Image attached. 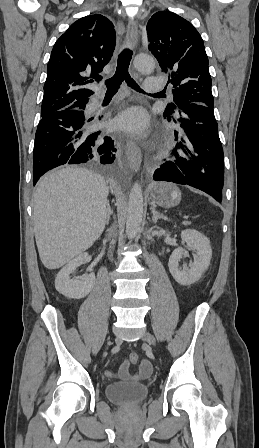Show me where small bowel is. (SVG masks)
<instances>
[{"label": "small bowel", "mask_w": 259, "mask_h": 448, "mask_svg": "<svg viewBox=\"0 0 259 448\" xmlns=\"http://www.w3.org/2000/svg\"><path fill=\"white\" fill-rule=\"evenodd\" d=\"M152 372L151 363L143 359L138 367V372L136 374H132L129 371V362L124 361L119 369L118 376L127 381H140L146 379ZM105 375L108 378H115L117 374L112 370H106Z\"/></svg>", "instance_id": "small-bowel-1"}]
</instances>
